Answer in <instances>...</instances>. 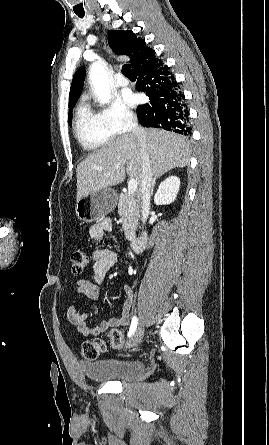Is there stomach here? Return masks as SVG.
<instances>
[{"label": "stomach", "mask_w": 269, "mask_h": 445, "mask_svg": "<svg viewBox=\"0 0 269 445\" xmlns=\"http://www.w3.org/2000/svg\"><path fill=\"white\" fill-rule=\"evenodd\" d=\"M117 200V193L111 188L92 192L77 201L76 215L83 222L100 221L115 209Z\"/></svg>", "instance_id": "obj_1"}]
</instances>
